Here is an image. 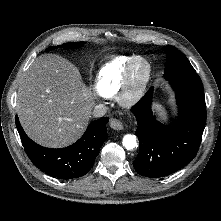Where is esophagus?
<instances>
[{
    "label": "esophagus",
    "instance_id": "obj_1",
    "mask_svg": "<svg viewBox=\"0 0 221 221\" xmlns=\"http://www.w3.org/2000/svg\"><path fill=\"white\" fill-rule=\"evenodd\" d=\"M110 127L114 130H122L123 124L120 120L113 118L110 120Z\"/></svg>",
    "mask_w": 221,
    "mask_h": 221
}]
</instances>
